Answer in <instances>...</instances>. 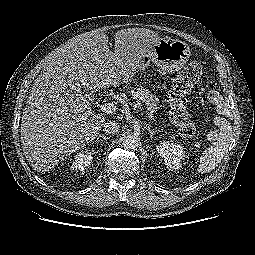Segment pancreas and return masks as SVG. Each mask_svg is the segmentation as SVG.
<instances>
[{
    "label": "pancreas",
    "mask_w": 255,
    "mask_h": 255,
    "mask_svg": "<svg viewBox=\"0 0 255 255\" xmlns=\"http://www.w3.org/2000/svg\"><path fill=\"white\" fill-rule=\"evenodd\" d=\"M131 98L142 101L149 109L157 111L159 109V99L150 90L143 87L133 88L129 91Z\"/></svg>",
    "instance_id": "obj_1"
}]
</instances>
